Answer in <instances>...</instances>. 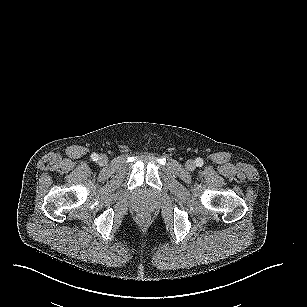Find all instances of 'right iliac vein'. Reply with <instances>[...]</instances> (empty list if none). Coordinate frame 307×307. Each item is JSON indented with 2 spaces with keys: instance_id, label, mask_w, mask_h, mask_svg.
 Segmentation results:
<instances>
[{
  "instance_id": "right-iliac-vein-1",
  "label": "right iliac vein",
  "mask_w": 307,
  "mask_h": 307,
  "mask_svg": "<svg viewBox=\"0 0 307 307\" xmlns=\"http://www.w3.org/2000/svg\"><path fill=\"white\" fill-rule=\"evenodd\" d=\"M108 162V158L106 155H100L99 158H98V164L100 166H105L106 163Z\"/></svg>"
}]
</instances>
